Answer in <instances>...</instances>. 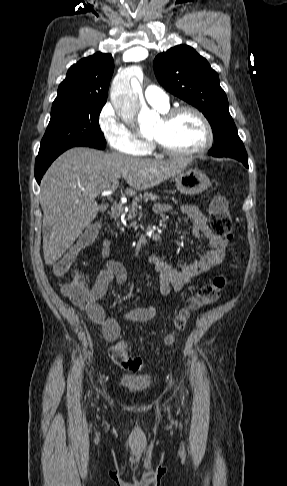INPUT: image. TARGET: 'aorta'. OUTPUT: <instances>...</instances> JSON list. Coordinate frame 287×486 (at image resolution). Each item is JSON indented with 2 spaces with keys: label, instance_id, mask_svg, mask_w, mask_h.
I'll use <instances>...</instances> for the list:
<instances>
[{
  "label": "aorta",
  "instance_id": "aorta-1",
  "mask_svg": "<svg viewBox=\"0 0 287 486\" xmlns=\"http://www.w3.org/2000/svg\"><path fill=\"white\" fill-rule=\"evenodd\" d=\"M110 97L116 112L125 122L137 121L141 129L152 127L154 113L141 98V85L137 78L125 72L118 75L113 80Z\"/></svg>",
  "mask_w": 287,
  "mask_h": 486
}]
</instances>
